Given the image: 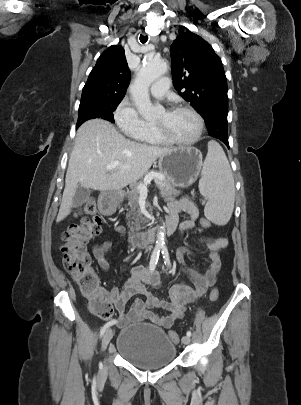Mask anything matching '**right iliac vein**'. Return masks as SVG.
Instances as JSON below:
<instances>
[{
  "label": "right iliac vein",
  "instance_id": "obj_1",
  "mask_svg": "<svg viewBox=\"0 0 301 405\" xmlns=\"http://www.w3.org/2000/svg\"><path fill=\"white\" fill-rule=\"evenodd\" d=\"M113 335H114V331L111 328L107 329V331L105 332V334L103 336V340H102L103 349H106V347L108 346L109 342L111 341ZM103 371H105V366L103 367Z\"/></svg>",
  "mask_w": 301,
  "mask_h": 405
}]
</instances>
